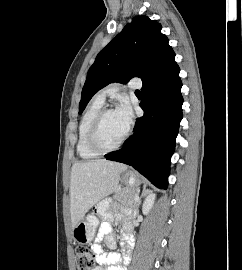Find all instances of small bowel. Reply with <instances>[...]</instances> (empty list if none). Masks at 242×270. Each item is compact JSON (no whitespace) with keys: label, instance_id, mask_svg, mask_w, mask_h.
Listing matches in <instances>:
<instances>
[{"label":"small bowel","instance_id":"obj_1","mask_svg":"<svg viewBox=\"0 0 242 270\" xmlns=\"http://www.w3.org/2000/svg\"><path fill=\"white\" fill-rule=\"evenodd\" d=\"M101 215L104 217V220L98 228L95 243L92 245V251L99 264L94 270H103L102 266L105 265H112L109 270H126L127 259L117 252L106 253L98 242L104 239L106 246L109 249H114L116 247V238L112 233L111 224L114 220H121L123 223L122 244L124 247L130 248L133 245L131 222L129 219H122L119 215L113 214L110 211L102 212Z\"/></svg>","mask_w":242,"mask_h":270}]
</instances>
